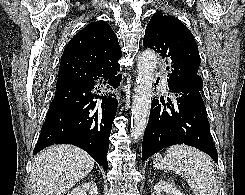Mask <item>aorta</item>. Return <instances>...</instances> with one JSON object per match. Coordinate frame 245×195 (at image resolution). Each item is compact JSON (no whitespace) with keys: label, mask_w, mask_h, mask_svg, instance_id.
<instances>
[{"label":"aorta","mask_w":245,"mask_h":195,"mask_svg":"<svg viewBox=\"0 0 245 195\" xmlns=\"http://www.w3.org/2000/svg\"><path fill=\"white\" fill-rule=\"evenodd\" d=\"M157 64L153 50L143 51L137 62V79L132 103L131 136L138 140L143 136L150 113L152 86Z\"/></svg>","instance_id":"aorta-1"}]
</instances>
